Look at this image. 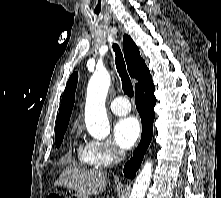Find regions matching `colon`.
<instances>
[{
  "mask_svg": "<svg viewBox=\"0 0 221 198\" xmlns=\"http://www.w3.org/2000/svg\"><path fill=\"white\" fill-rule=\"evenodd\" d=\"M48 198H61L59 194L53 193L48 196Z\"/></svg>",
  "mask_w": 221,
  "mask_h": 198,
  "instance_id": "1",
  "label": "colon"
}]
</instances>
